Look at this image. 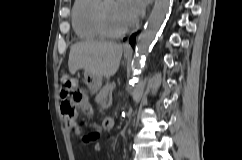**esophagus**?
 Here are the masks:
<instances>
[{"mask_svg": "<svg viewBox=\"0 0 242 160\" xmlns=\"http://www.w3.org/2000/svg\"><path fill=\"white\" fill-rule=\"evenodd\" d=\"M124 50H125V52H127V53H132V47L128 44V45H125V47H124Z\"/></svg>", "mask_w": 242, "mask_h": 160, "instance_id": "34e87169", "label": "esophagus"}]
</instances>
